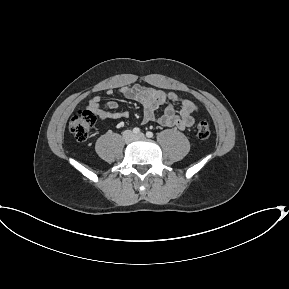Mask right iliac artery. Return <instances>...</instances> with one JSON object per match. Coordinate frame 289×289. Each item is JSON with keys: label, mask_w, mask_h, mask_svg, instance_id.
Masks as SVG:
<instances>
[{"label": "right iliac artery", "mask_w": 289, "mask_h": 289, "mask_svg": "<svg viewBox=\"0 0 289 289\" xmlns=\"http://www.w3.org/2000/svg\"><path fill=\"white\" fill-rule=\"evenodd\" d=\"M133 133H134V134H139V133H140V129H139L138 127H135V128L133 129Z\"/></svg>", "instance_id": "82829eb1"}]
</instances>
